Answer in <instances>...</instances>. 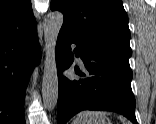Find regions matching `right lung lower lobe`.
<instances>
[{
	"label": "right lung lower lobe",
	"mask_w": 156,
	"mask_h": 124,
	"mask_svg": "<svg viewBox=\"0 0 156 124\" xmlns=\"http://www.w3.org/2000/svg\"><path fill=\"white\" fill-rule=\"evenodd\" d=\"M39 58L36 29L0 39V124H25L26 87Z\"/></svg>",
	"instance_id": "right-lung-lower-lobe-1"
}]
</instances>
